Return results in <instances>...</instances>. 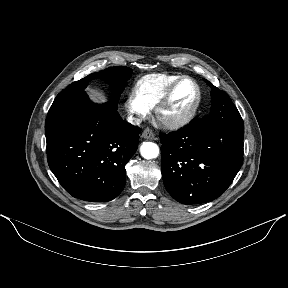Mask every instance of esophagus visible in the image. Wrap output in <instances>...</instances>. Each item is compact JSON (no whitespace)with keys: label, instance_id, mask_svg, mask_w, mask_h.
Returning <instances> with one entry per match:
<instances>
[{"label":"esophagus","instance_id":"esophagus-1","mask_svg":"<svg viewBox=\"0 0 288 288\" xmlns=\"http://www.w3.org/2000/svg\"><path fill=\"white\" fill-rule=\"evenodd\" d=\"M142 137L145 138V139L152 140V139H154L155 135H154V132L151 129L147 128V129H145L142 132Z\"/></svg>","mask_w":288,"mask_h":288}]
</instances>
